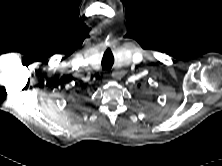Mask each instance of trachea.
Returning a JSON list of instances; mask_svg holds the SVG:
<instances>
[{
	"instance_id": "1",
	"label": "trachea",
	"mask_w": 222,
	"mask_h": 166,
	"mask_svg": "<svg viewBox=\"0 0 222 166\" xmlns=\"http://www.w3.org/2000/svg\"><path fill=\"white\" fill-rule=\"evenodd\" d=\"M113 64H114L113 54L109 49H107L102 58L101 62L102 69L109 71L112 68Z\"/></svg>"
}]
</instances>
